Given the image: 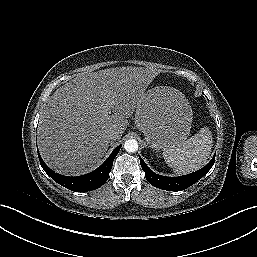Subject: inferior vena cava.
<instances>
[{
    "instance_id": "1",
    "label": "inferior vena cava",
    "mask_w": 257,
    "mask_h": 257,
    "mask_svg": "<svg viewBox=\"0 0 257 257\" xmlns=\"http://www.w3.org/2000/svg\"><path fill=\"white\" fill-rule=\"evenodd\" d=\"M105 138L109 141L115 140L117 138V134L114 131H108L104 134Z\"/></svg>"
}]
</instances>
